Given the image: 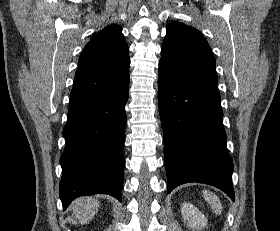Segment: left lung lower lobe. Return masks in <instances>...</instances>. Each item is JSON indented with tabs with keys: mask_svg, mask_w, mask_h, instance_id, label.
Instances as JSON below:
<instances>
[{
	"mask_svg": "<svg viewBox=\"0 0 280 231\" xmlns=\"http://www.w3.org/2000/svg\"><path fill=\"white\" fill-rule=\"evenodd\" d=\"M168 193L189 182L213 185L233 201V162L226 148L217 84L179 82L159 72Z\"/></svg>",
	"mask_w": 280,
	"mask_h": 231,
	"instance_id": "obj_1",
	"label": "left lung lower lobe"
}]
</instances>
